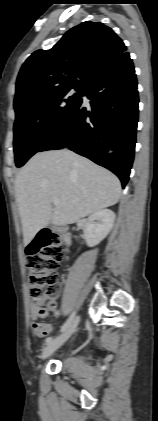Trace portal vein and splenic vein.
<instances>
[{"label": "portal vein and splenic vein", "mask_w": 158, "mask_h": 421, "mask_svg": "<svg viewBox=\"0 0 158 421\" xmlns=\"http://www.w3.org/2000/svg\"><path fill=\"white\" fill-rule=\"evenodd\" d=\"M53 204H54L55 206H59L60 202H59V200H54V201H53Z\"/></svg>", "instance_id": "18ae733b"}]
</instances>
